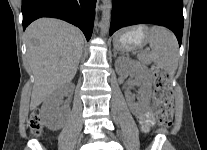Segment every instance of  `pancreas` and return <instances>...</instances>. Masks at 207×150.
Listing matches in <instances>:
<instances>
[{
	"mask_svg": "<svg viewBox=\"0 0 207 150\" xmlns=\"http://www.w3.org/2000/svg\"><path fill=\"white\" fill-rule=\"evenodd\" d=\"M140 58L143 62L149 63V58L146 55H142Z\"/></svg>",
	"mask_w": 207,
	"mask_h": 150,
	"instance_id": "1",
	"label": "pancreas"
}]
</instances>
